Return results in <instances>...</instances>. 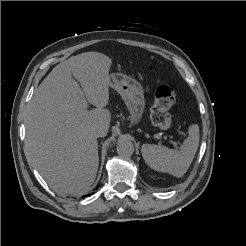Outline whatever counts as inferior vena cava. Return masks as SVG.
Returning <instances> with one entry per match:
<instances>
[{
  "label": "inferior vena cava",
  "mask_w": 246,
  "mask_h": 246,
  "mask_svg": "<svg viewBox=\"0 0 246 246\" xmlns=\"http://www.w3.org/2000/svg\"><path fill=\"white\" fill-rule=\"evenodd\" d=\"M103 134H104V130H103V128H101V127H97V128H95V129L93 130V135H94L95 137H102Z\"/></svg>",
  "instance_id": "602c4592"
}]
</instances>
